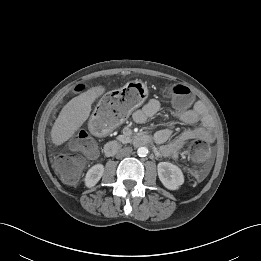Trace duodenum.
Segmentation results:
<instances>
[{"instance_id":"410a0bca","label":"duodenum","mask_w":261,"mask_h":261,"mask_svg":"<svg viewBox=\"0 0 261 261\" xmlns=\"http://www.w3.org/2000/svg\"><path fill=\"white\" fill-rule=\"evenodd\" d=\"M132 142L135 146H145L151 144L153 139L144 133L137 134L133 137ZM120 148V145L116 141H109L104 146V153L107 156H113Z\"/></svg>"}]
</instances>
